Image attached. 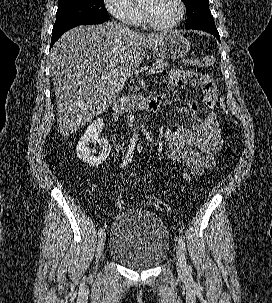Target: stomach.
<instances>
[{"instance_id": "0dacf381", "label": "stomach", "mask_w": 272, "mask_h": 303, "mask_svg": "<svg viewBox=\"0 0 272 303\" xmlns=\"http://www.w3.org/2000/svg\"><path fill=\"white\" fill-rule=\"evenodd\" d=\"M190 42L178 32H167L164 38L153 47V53L161 59H180L190 50Z\"/></svg>"}]
</instances>
